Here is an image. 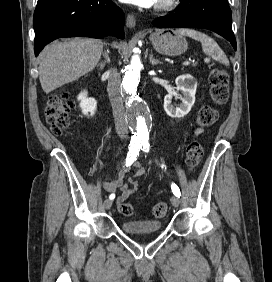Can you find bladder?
<instances>
[{
	"label": "bladder",
	"mask_w": 272,
	"mask_h": 282,
	"mask_svg": "<svg viewBox=\"0 0 272 282\" xmlns=\"http://www.w3.org/2000/svg\"><path fill=\"white\" fill-rule=\"evenodd\" d=\"M162 223L152 220H131L121 224V229L130 234L154 233L160 231Z\"/></svg>",
	"instance_id": "obj_1"
}]
</instances>
